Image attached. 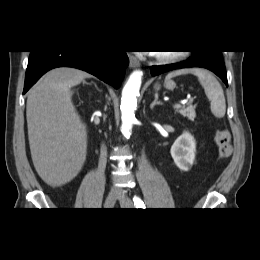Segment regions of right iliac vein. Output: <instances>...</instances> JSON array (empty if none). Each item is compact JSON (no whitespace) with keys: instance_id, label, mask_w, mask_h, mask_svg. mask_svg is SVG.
I'll return each instance as SVG.
<instances>
[{"instance_id":"63e3f726","label":"right iliac vein","mask_w":260,"mask_h":260,"mask_svg":"<svg viewBox=\"0 0 260 260\" xmlns=\"http://www.w3.org/2000/svg\"><path fill=\"white\" fill-rule=\"evenodd\" d=\"M118 197H119V193H118V192H116V191H111V192L108 194V196H107V198H106V200H105V207H106V208H111V207H113Z\"/></svg>"}]
</instances>
